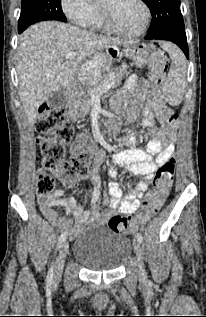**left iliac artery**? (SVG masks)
Returning a JSON list of instances; mask_svg holds the SVG:
<instances>
[{
	"instance_id": "44dca946",
	"label": "left iliac artery",
	"mask_w": 206,
	"mask_h": 317,
	"mask_svg": "<svg viewBox=\"0 0 206 317\" xmlns=\"http://www.w3.org/2000/svg\"><path fill=\"white\" fill-rule=\"evenodd\" d=\"M136 238H137V240H138L140 243L143 241L142 234L139 233V232L136 234Z\"/></svg>"
}]
</instances>
